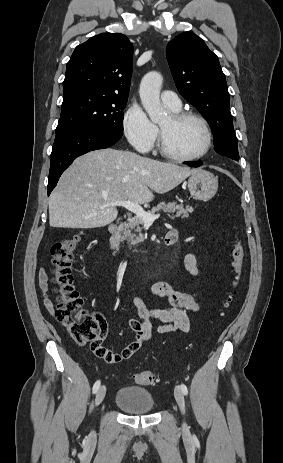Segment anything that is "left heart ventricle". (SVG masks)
Masks as SVG:
<instances>
[{"label":"left heart ventricle","mask_w":283,"mask_h":463,"mask_svg":"<svg viewBox=\"0 0 283 463\" xmlns=\"http://www.w3.org/2000/svg\"><path fill=\"white\" fill-rule=\"evenodd\" d=\"M164 141L170 151L180 156L200 153L206 142V134L200 122L187 119L174 123L170 116L159 122Z\"/></svg>","instance_id":"1"}]
</instances>
